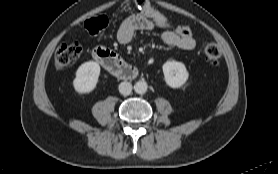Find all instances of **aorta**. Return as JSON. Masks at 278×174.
Masks as SVG:
<instances>
[{
	"instance_id": "aorta-1",
	"label": "aorta",
	"mask_w": 278,
	"mask_h": 174,
	"mask_svg": "<svg viewBox=\"0 0 278 174\" xmlns=\"http://www.w3.org/2000/svg\"><path fill=\"white\" fill-rule=\"evenodd\" d=\"M148 89V85L145 81H138L134 85V90L138 94H144Z\"/></svg>"
}]
</instances>
